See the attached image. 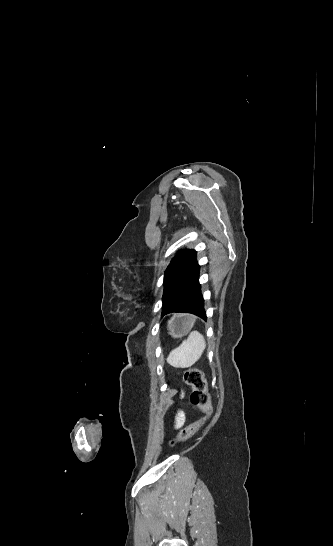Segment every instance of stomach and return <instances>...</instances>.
<instances>
[{"label":"stomach","instance_id":"obj_1","mask_svg":"<svg viewBox=\"0 0 333 546\" xmlns=\"http://www.w3.org/2000/svg\"><path fill=\"white\" fill-rule=\"evenodd\" d=\"M194 322L188 316L185 317H176L168 322V328L170 334L174 338L182 337L186 335L191 328L193 327Z\"/></svg>","mask_w":333,"mask_h":546}]
</instances>
